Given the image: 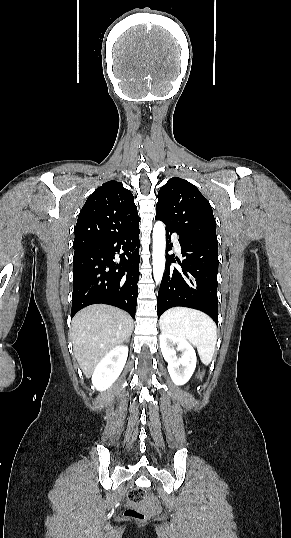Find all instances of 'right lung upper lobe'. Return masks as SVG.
<instances>
[{"label":"right lung upper lobe","mask_w":291,"mask_h":538,"mask_svg":"<svg viewBox=\"0 0 291 538\" xmlns=\"http://www.w3.org/2000/svg\"><path fill=\"white\" fill-rule=\"evenodd\" d=\"M132 193L117 181L97 188L82 207L75 226V250L106 242L138 226Z\"/></svg>","instance_id":"1"}]
</instances>
